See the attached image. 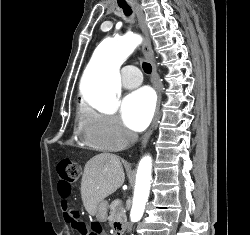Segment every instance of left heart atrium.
I'll return each instance as SVG.
<instances>
[{
	"label": "left heart atrium",
	"instance_id": "obj_1",
	"mask_svg": "<svg viewBox=\"0 0 250 235\" xmlns=\"http://www.w3.org/2000/svg\"><path fill=\"white\" fill-rule=\"evenodd\" d=\"M154 109L155 97L148 88H141L130 93L121 103L123 121L134 131H142L149 124Z\"/></svg>",
	"mask_w": 250,
	"mask_h": 235
}]
</instances>
